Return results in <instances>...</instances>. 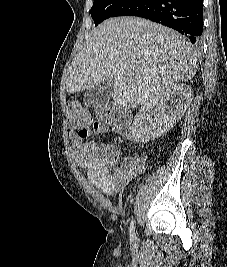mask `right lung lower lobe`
I'll return each mask as SVG.
<instances>
[{
	"label": "right lung lower lobe",
	"mask_w": 227,
	"mask_h": 267,
	"mask_svg": "<svg viewBox=\"0 0 227 267\" xmlns=\"http://www.w3.org/2000/svg\"><path fill=\"white\" fill-rule=\"evenodd\" d=\"M138 16L161 23L199 43L203 31V0H129L113 17Z\"/></svg>",
	"instance_id": "right-lung-lower-lobe-1"
}]
</instances>
